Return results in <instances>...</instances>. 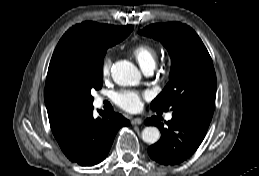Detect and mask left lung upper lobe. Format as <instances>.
I'll return each mask as SVG.
<instances>
[{"mask_svg": "<svg viewBox=\"0 0 259 176\" xmlns=\"http://www.w3.org/2000/svg\"><path fill=\"white\" fill-rule=\"evenodd\" d=\"M139 34L159 40L172 64L169 83L152 101L153 110L189 113L211 121L216 97L212 59L196 32L179 22L152 24Z\"/></svg>", "mask_w": 259, "mask_h": 176, "instance_id": "obj_1", "label": "left lung upper lobe"}]
</instances>
